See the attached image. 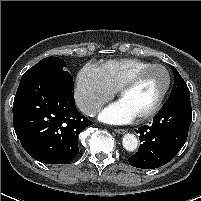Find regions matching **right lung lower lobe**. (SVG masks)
<instances>
[{
  "instance_id": "right-lung-lower-lobe-1",
  "label": "right lung lower lobe",
  "mask_w": 201,
  "mask_h": 201,
  "mask_svg": "<svg viewBox=\"0 0 201 201\" xmlns=\"http://www.w3.org/2000/svg\"><path fill=\"white\" fill-rule=\"evenodd\" d=\"M73 84L35 74L21 78L13 103L14 130L25 151L45 164H67L78 135L92 125L75 107Z\"/></svg>"
}]
</instances>
